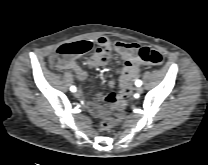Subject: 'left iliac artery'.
<instances>
[{"label": "left iliac artery", "instance_id": "obj_1", "mask_svg": "<svg viewBox=\"0 0 208 165\" xmlns=\"http://www.w3.org/2000/svg\"><path fill=\"white\" fill-rule=\"evenodd\" d=\"M135 84H136V86H141V85H142V81H141V80H137V81L135 82Z\"/></svg>", "mask_w": 208, "mask_h": 165}]
</instances>
